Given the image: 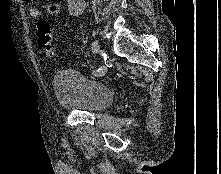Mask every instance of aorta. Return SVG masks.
<instances>
[{
    "mask_svg": "<svg viewBox=\"0 0 221 174\" xmlns=\"http://www.w3.org/2000/svg\"><path fill=\"white\" fill-rule=\"evenodd\" d=\"M85 0H68V7L73 15L79 16L85 8Z\"/></svg>",
    "mask_w": 221,
    "mask_h": 174,
    "instance_id": "obj_1",
    "label": "aorta"
}]
</instances>
